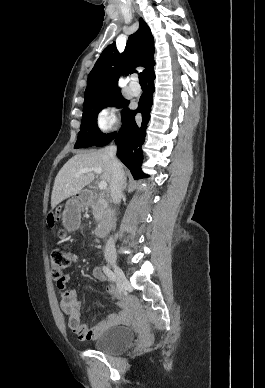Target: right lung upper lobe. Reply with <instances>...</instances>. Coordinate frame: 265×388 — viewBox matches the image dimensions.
I'll use <instances>...</instances> for the list:
<instances>
[{"label": "right lung upper lobe", "instance_id": "1", "mask_svg": "<svg viewBox=\"0 0 265 388\" xmlns=\"http://www.w3.org/2000/svg\"><path fill=\"white\" fill-rule=\"evenodd\" d=\"M139 23V29L129 36L122 54L117 51L115 42L104 49L88 76L85 99L104 91L119 89L117 83L120 74L134 73L138 66L145 67L147 78L154 74V39L142 18Z\"/></svg>", "mask_w": 265, "mask_h": 388}]
</instances>
